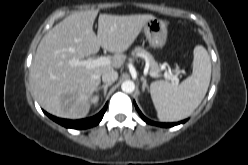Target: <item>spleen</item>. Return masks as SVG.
Returning a JSON list of instances; mask_svg holds the SVG:
<instances>
[{"mask_svg": "<svg viewBox=\"0 0 248 165\" xmlns=\"http://www.w3.org/2000/svg\"><path fill=\"white\" fill-rule=\"evenodd\" d=\"M193 72L180 85L155 81L150 94L162 122H174L190 116L204 99L211 78V61L207 50L197 45L193 51Z\"/></svg>", "mask_w": 248, "mask_h": 165, "instance_id": "1", "label": "spleen"}]
</instances>
